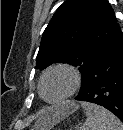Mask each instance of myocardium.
<instances>
[{
    "label": "myocardium",
    "instance_id": "obj_1",
    "mask_svg": "<svg viewBox=\"0 0 123 130\" xmlns=\"http://www.w3.org/2000/svg\"><path fill=\"white\" fill-rule=\"evenodd\" d=\"M55 70H63V71L68 72L71 76L72 83L69 90L65 94H63L62 96L56 99H48L44 96V93H43V83L46 76ZM81 81H82L81 73L74 65L70 63H64V62L55 63L47 67L42 73L40 77V81H39V93L45 101L49 103H59L73 96L80 88Z\"/></svg>",
    "mask_w": 123,
    "mask_h": 130
}]
</instances>
